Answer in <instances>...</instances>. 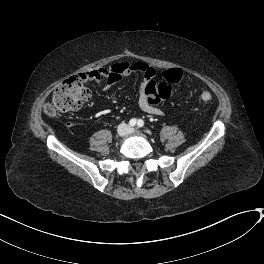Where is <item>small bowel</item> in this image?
Wrapping results in <instances>:
<instances>
[{
    "label": "small bowel",
    "instance_id": "obj_1",
    "mask_svg": "<svg viewBox=\"0 0 264 264\" xmlns=\"http://www.w3.org/2000/svg\"><path fill=\"white\" fill-rule=\"evenodd\" d=\"M136 72L144 73V78L141 81L139 88L138 107L147 114L153 116H162L164 111L157 107L145 94V87L149 83L154 82L157 77L155 68L149 64L143 62L113 63L98 70L80 73L77 77L85 82L95 81L99 84L105 81L106 87L109 88L117 83L122 76Z\"/></svg>",
    "mask_w": 264,
    "mask_h": 264
}]
</instances>
